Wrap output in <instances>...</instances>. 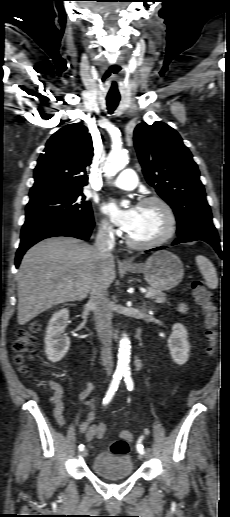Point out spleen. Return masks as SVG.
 Segmentation results:
<instances>
[{"label": "spleen", "instance_id": "1", "mask_svg": "<svg viewBox=\"0 0 230 517\" xmlns=\"http://www.w3.org/2000/svg\"><path fill=\"white\" fill-rule=\"evenodd\" d=\"M196 264L205 279L206 285L210 289H216L218 286V277L213 263L206 257L197 255Z\"/></svg>", "mask_w": 230, "mask_h": 517}]
</instances>
